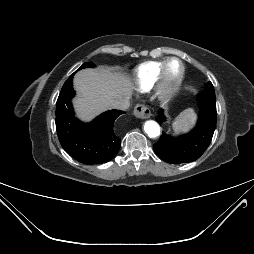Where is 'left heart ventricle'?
<instances>
[{"instance_id":"b2bd125f","label":"left heart ventricle","mask_w":254,"mask_h":254,"mask_svg":"<svg viewBox=\"0 0 254 254\" xmlns=\"http://www.w3.org/2000/svg\"><path fill=\"white\" fill-rule=\"evenodd\" d=\"M180 66L177 62H173L170 64L168 68V78L175 79L179 73Z\"/></svg>"}]
</instances>
